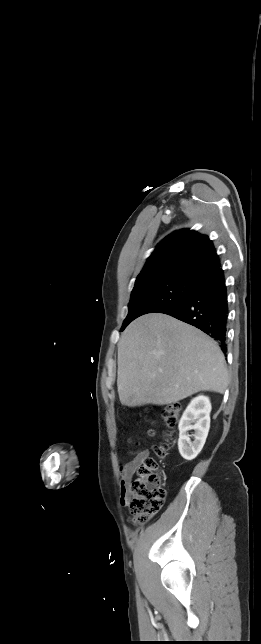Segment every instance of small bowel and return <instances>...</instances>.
<instances>
[{
	"mask_svg": "<svg viewBox=\"0 0 261 644\" xmlns=\"http://www.w3.org/2000/svg\"><path fill=\"white\" fill-rule=\"evenodd\" d=\"M148 455L149 452L147 450L138 451L130 462L125 463L120 467L121 504L123 506H127L129 504V484L137 472L138 467L141 465L143 460L148 457Z\"/></svg>",
	"mask_w": 261,
	"mask_h": 644,
	"instance_id": "c3829d8e",
	"label": "small bowel"
}]
</instances>
